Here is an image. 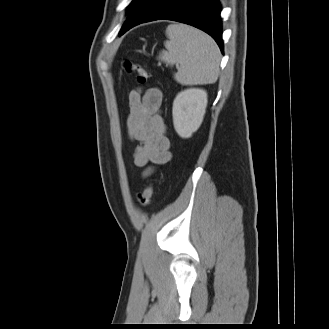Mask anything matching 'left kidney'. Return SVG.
I'll use <instances>...</instances> for the list:
<instances>
[{
    "instance_id": "1",
    "label": "left kidney",
    "mask_w": 329,
    "mask_h": 329,
    "mask_svg": "<svg viewBox=\"0 0 329 329\" xmlns=\"http://www.w3.org/2000/svg\"><path fill=\"white\" fill-rule=\"evenodd\" d=\"M207 106L203 89L189 88L178 93L173 102V124L182 138H190L202 124Z\"/></svg>"
}]
</instances>
